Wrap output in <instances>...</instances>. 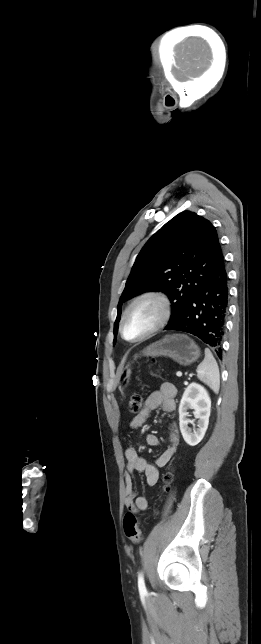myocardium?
<instances>
[{
  "mask_svg": "<svg viewBox=\"0 0 261 644\" xmlns=\"http://www.w3.org/2000/svg\"><path fill=\"white\" fill-rule=\"evenodd\" d=\"M144 300H152V301L156 302L160 307V316H159L157 322L155 323V325L151 329H149L146 333H144L143 335H141L138 338L128 339L125 336V324H126L127 317L129 315L130 311L132 310V308L136 304H138L139 302H142ZM171 316H172V303H171V300H170L169 296L165 292H163L161 290H157V289H151V290L144 291V292L138 294L137 296H135L130 301V303L128 304L126 309L124 310L122 318H121V321H120V333H121V336L125 341H127L129 343L142 342V341L150 338L151 336H153L155 333L160 331L162 328H164L168 324Z\"/></svg>",
  "mask_w": 261,
  "mask_h": 644,
  "instance_id": "myocardium-1",
  "label": "myocardium"
}]
</instances>
